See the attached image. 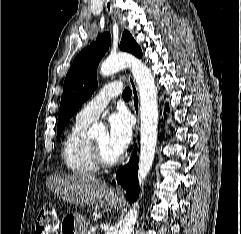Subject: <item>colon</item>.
Segmentation results:
<instances>
[{
	"label": "colon",
	"instance_id": "5ec220e1",
	"mask_svg": "<svg viewBox=\"0 0 241 234\" xmlns=\"http://www.w3.org/2000/svg\"><path fill=\"white\" fill-rule=\"evenodd\" d=\"M59 220L52 205H45L41 208L37 221V234H56Z\"/></svg>",
	"mask_w": 241,
	"mask_h": 234
}]
</instances>
